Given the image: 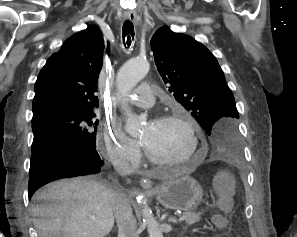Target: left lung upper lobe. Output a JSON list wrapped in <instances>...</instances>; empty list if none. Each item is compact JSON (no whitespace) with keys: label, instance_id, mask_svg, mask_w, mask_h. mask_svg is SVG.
<instances>
[{"label":"left lung upper lobe","instance_id":"obj_1","mask_svg":"<svg viewBox=\"0 0 297 237\" xmlns=\"http://www.w3.org/2000/svg\"><path fill=\"white\" fill-rule=\"evenodd\" d=\"M150 45L164 83L210 137L211 152L240 157L239 114L215 56L190 36L166 26L155 32Z\"/></svg>","mask_w":297,"mask_h":237}]
</instances>
